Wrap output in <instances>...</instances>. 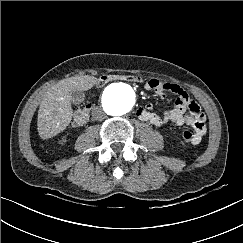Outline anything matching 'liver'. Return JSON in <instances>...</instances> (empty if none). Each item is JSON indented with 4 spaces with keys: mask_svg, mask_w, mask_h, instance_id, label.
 <instances>
[{
    "mask_svg": "<svg viewBox=\"0 0 243 243\" xmlns=\"http://www.w3.org/2000/svg\"><path fill=\"white\" fill-rule=\"evenodd\" d=\"M92 79L90 76L71 77L59 81L46 92L37 118L42 139H49L66 129L73 116L71 92L85 90Z\"/></svg>",
    "mask_w": 243,
    "mask_h": 243,
    "instance_id": "1",
    "label": "liver"
}]
</instances>
